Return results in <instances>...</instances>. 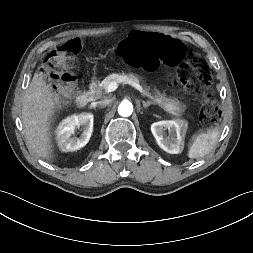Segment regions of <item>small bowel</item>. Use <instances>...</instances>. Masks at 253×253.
<instances>
[{
  "instance_id": "1",
  "label": "small bowel",
  "mask_w": 253,
  "mask_h": 253,
  "mask_svg": "<svg viewBox=\"0 0 253 253\" xmlns=\"http://www.w3.org/2000/svg\"><path fill=\"white\" fill-rule=\"evenodd\" d=\"M161 58L158 56V54H156V63L155 65L158 63V61L160 60ZM162 60V59H161Z\"/></svg>"
}]
</instances>
